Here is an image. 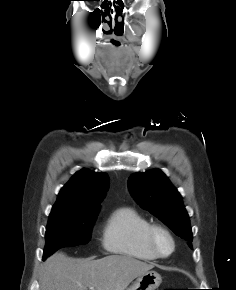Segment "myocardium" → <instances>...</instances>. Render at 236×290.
Here are the masks:
<instances>
[{"instance_id":"1","label":"myocardium","mask_w":236,"mask_h":290,"mask_svg":"<svg viewBox=\"0 0 236 290\" xmlns=\"http://www.w3.org/2000/svg\"><path fill=\"white\" fill-rule=\"evenodd\" d=\"M165 237L170 243V250L163 252L159 246V238ZM147 244L158 258H167L175 251V239L172 233L161 225H151L147 232Z\"/></svg>"}]
</instances>
